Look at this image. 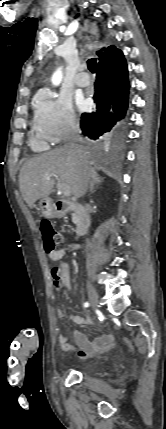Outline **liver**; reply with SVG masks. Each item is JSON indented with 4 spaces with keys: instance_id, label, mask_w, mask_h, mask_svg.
I'll return each instance as SVG.
<instances>
[{
    "instance_id": "1",
    "label": "liver",
    "mask_w": 166,
    "mask_h": 429,
    "mask_svg": "<svg viewBox=\"0 0 166 429\" xmlns=\"http://www.w3.org/2000/svg\"><path fill=\"white\" fill-rule=\"evenodd\" d=\"M84 152V158L80 159L75 153L61 147L27 160L19 174L20 191L27 205L32 208L38 199L48 197L53 190L55 177L69 185L75 197H81L85 168H89L93 179L96 175L90 166V153L85 148Z\"/></svg>"
}]
</instances>
